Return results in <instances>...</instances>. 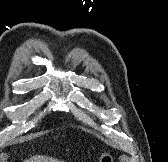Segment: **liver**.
<instances>
[{
  "label": "liver",
  "instance_id": "liver-1",
  "mask_svg": "<svg viewBox=\"0 0 168 162\" xmlns=\"http://www.w3.org/2000/svg\"><path fill=\"white\" fill-rule=\"evenodd\" d=\"M24 162H64L62 160H58L56 158L48 157V156H33L28 160H25Z\"/></svg>",
  "mask_w": 168,
  "mask_h": 162
}]
</instances>
